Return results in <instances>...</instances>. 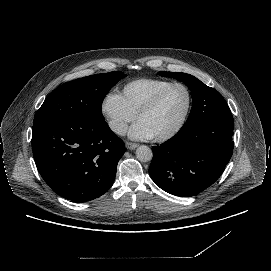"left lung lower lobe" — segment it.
<instances>
[{"mask_svg":"<svg viewBox=\"0 0 271 271\" xmlns=\"http://www.w3.org/2000/svg\"><path fill=\"white\" fill-rule=\"evenodd\" d=\"M233 118H209L182 127L171 139L153 146L149 174L162 190L180 197L196 195L223 173L234 142Z\"/></svg>","mask_w":271,"mask_h":271,"instance_id":"left-lung-lower-lobe-1","label":"left lung lower lobe"}]
</instances>
